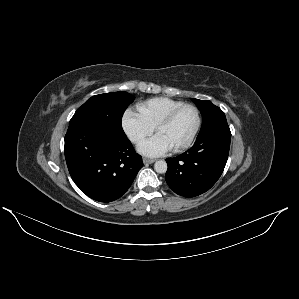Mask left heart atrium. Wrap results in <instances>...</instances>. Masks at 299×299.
<instances>
[{"label": "left heart atrium", "mask_w": 299, "mask_h": 299, "mask_svg": "<svg viewBox=\"0 0 299 299\" xmlns=\"http://www.w3.org/2000/svg\"><path fill=\"white\" fill-rule=\"evenodd\" d=\"M173 149L167 139L161 134H156L152 138L142 142L138 146V151L146 156H160Z\"/></svg>", "instance_id": "1"}]
</instances>
